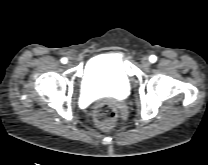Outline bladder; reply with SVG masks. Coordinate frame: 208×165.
<instances>
[{"mask_svg": "<svg viewBox=\"0 0 208 165\" xmlns=\"http://www.w3.org/2000/svg\"><path fill=\"white\" fill-rule=\"evenodd\" d=\"M130 77L122 58L106 53L91 58L82 77V92L87 98L110 96L125 98L130 92Z\"/></svg>", "mask_w": 208, "mask_h": 165, "instance_id": "1", "label": "bladder"}]
</instances>
